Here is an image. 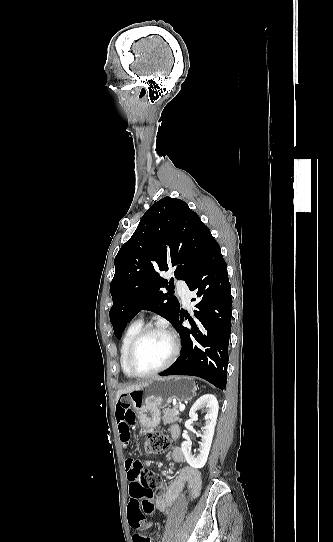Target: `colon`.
<instances>
[{
  "label": "colon",
  "mask_w": 333,
  "mask_h": 542,
  "mask_svg": "<svg viewBox=\"0 0 333 542\" xmlns=\"http://www.w3.org/2000/svg\"><path fill=\"white\" fill-rule=\"evenodd\" d=\"M171 444L170 437L162 431H156L147 436L144 442V449L148 455H159L166 451ZM125 467L128 469L126 478L135 483H128L127 492L131 495V501H146L152 497V489L161 485V477L151 470H145L141 467L136 458H127ZM127 516L130 524L146 525L149 523L154 509L152 505H129ZM138 541H144L143 537H138Z\"/></svg>",
  "instance_id": "obj_1"
}]
</instances>
